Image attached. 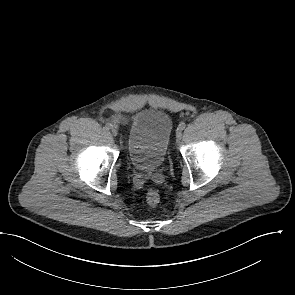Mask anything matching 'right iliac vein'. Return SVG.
<instances>
[{"mask_svg": "<svg viewBox=\"0 0 295 295\" xmlns=\"http://www.w3.org/2000/svg\"><path fill=\"white\" fill-rule=\"evenodd\" d=\"M111 132L114 136H116L118 134V129L117 127H112Z\"/></svg>", "mask_w": 295, "mask_h": 295, "instance_id": "right-iliac-vein-1", "label": "right iliac vein"}]
</instances>
